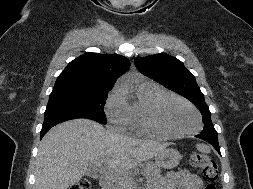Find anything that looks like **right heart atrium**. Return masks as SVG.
I'll use <instances>...</instances> for the list:
<instances>
[{"label":"right heart atrium","mask_w":253,"mask_h":189,"mask_svg":"<svg viewBox=\"0 0 253 189\" xmlns=\"http://www.w3.org/2000/svg\"><path fill=\"white\" fill-rule=\"evenodd\" d=\"M105 114L108 121L120 128L128 126V104L124 93L114 88L105 102Z\"/></svg>","instance_id":"obj_1"}]
</instances>
